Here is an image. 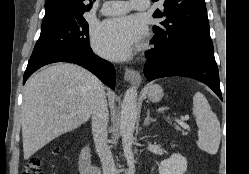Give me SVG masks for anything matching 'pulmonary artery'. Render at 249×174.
I'll use <instances>...</instances> for the list:
<instances>
[{"label":"pulmonary artery","mask_w":249,"mask_h":174,"mask_svg":"<svg viewBox=\"0 0 249 174\" xmlns=\"http://www.w3.org/2000/svg\"><path fill=\"white\" fill-rule=\"evenodd\" d=\"M149 7V0L107 1L101 7L104 15H120L129 10L145 11Z\"/></svg>","instance_id":"e3ab8cb5"}]
</instances>
